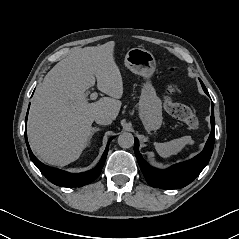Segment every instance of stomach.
Wrapping results in <instances>:
<instances>
[{
  "mask_svg": "<svg viewBox=\"0 0 239 239\" xmlns=\"http://www.w3.org/2000/svg\"><path fill=\"white\" fill-rule=\"evenodd\" d=\"M125 65L133 73L147 80L142 86L139 98V117L147 131L159 129L163 121L162 101L149 81L156 69L153 54L142 48H132L125 56Z\"/></svg>",
  "mask_w": 239,
  "mask_h": 239,
  "instance_id": "0dacf381",
  "label": "stomach"
}]
</instances>
